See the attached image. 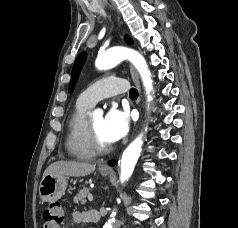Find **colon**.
<instances>
[{"label": "colon", "mask_w": 238, "mask_h": 228, "mask_svg": "<svg viewBox=\"0 0 238 228\" xmlns=\"http://www.w3.org/2000/svg\"><path fill=\"white\" fill-rule=\"evenodd\" d=\"M63 219V210L59 202H53L42 212L43 225L60 223Z\"/></svg>", "instance_id": "obj_1"}]
</instances>
